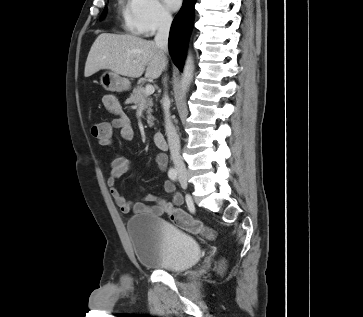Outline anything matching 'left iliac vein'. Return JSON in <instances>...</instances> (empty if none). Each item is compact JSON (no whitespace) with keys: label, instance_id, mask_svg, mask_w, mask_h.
<instances>
[{"label":"left iliac vein","instance_id":"obj_1","mask_svg":"<svg viewBox=\"0 0 363 317\" xmlns=\"http://www.w3.org/2000/svg\"><path fill=\"white\" fill-rule=\"evenodd\" d=\"M179 181H180V185H181V187L183 188V189H186L187 188V181L186 180H184V179H182V176H180V178H179Z\"/></svg>","mask_w":363,"mask_h":317}]
</instances>
